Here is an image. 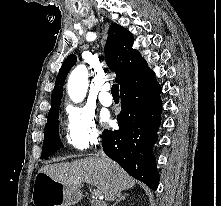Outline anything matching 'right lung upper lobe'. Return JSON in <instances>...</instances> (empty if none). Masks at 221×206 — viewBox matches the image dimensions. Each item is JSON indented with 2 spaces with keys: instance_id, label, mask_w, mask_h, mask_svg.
<instances>
[{
  "instance_id": "obj_1",
  "label": "right lung upper lobe",
  "mask_w": 221,
  "mask_h": 206,
  "mask_svg": "<svg viewBox=\"0 0 221 206\" xmlns=\"http://www.w3.org/2000/svg\"><path fill=\"white\" fill-rule=\"evenodd\" d=\"M133 41V35L128 30L116 23L111 24L105 45V59L109 68L116 73L115 81L121 87L148 67L141 54L132 48ZM75 63V55L65 59L56 79L49 113L60 106L65 78Z\"/></svg>"
}]
</instances>
